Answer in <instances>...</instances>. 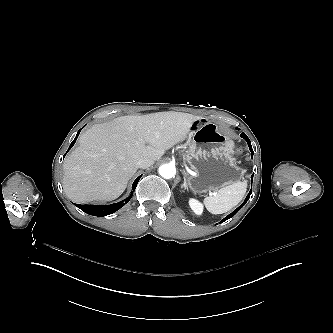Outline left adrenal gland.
<instances>
[{"label":"left adrenal gland","instance_id":"1","mask_svg":"<svg viewBox=\"0 0 333 333\" xmlns=\"http://www.w3.org/2000/svg\"><path fill=\"white\" fill-rule=\"evenodd\" d=\"M182 174L184 175V182L183 184L181 185V188H184L185 190L188 189V185H187V182H186V172L185 170H182Z\"/></svg>","mask_w":333,"mask_h":333}]
</instances>
